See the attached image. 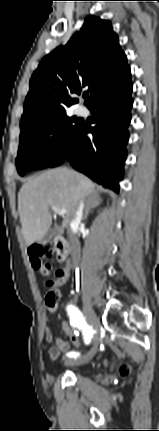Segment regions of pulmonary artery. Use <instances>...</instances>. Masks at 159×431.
Masks as SVG:
<instances>
[{
	"label": "pulmonary artery",
	"instance_id": "1",
	"mask_svg": "<svg viewBox=\"0 0 159 431\" xmlns=\"http://www.w3.org/2000/svg\"><path fill=\"white\" fill-rule=\"evenodd\" d=\"M77 113H78L79 115H85V114L87 113V110H86V108H84V107H79V108L77 109Z\"/></svg>",
	"mask_w": 159,
	"mask_h": 431
}]
</instances>
